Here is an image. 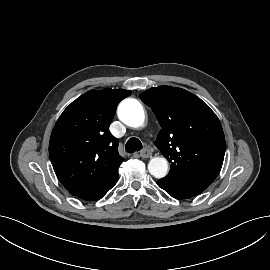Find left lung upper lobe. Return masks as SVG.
Returning a JSON list of instances; mask_svg holds the SVG:
<instances>
[{
	"label": "left lung upper lobe",
	"instance_id": "5c2ea615",
	"mask_svg": "<svg viewBox=\"0 0 270 270\" xmlns=\"http://www.w3.org/2000/svg\"><path fill=\"white\" fill-rule=\"evenodd\" d=\"M139 97L151 107L162 127L154 144L171 163L163 180L195 179L211 184L225 155V137L216 114L181 88L159 86Z\"/></svg>",
	"mask_w": 270,
	"mask_h": 270
}]
</instances>
